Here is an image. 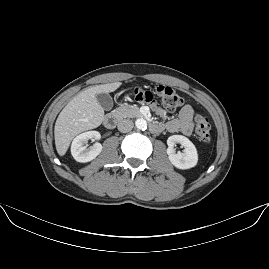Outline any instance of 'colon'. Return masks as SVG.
I'll return each mask as SVG.
<instances>
[{
	"label": "colon",
	"instance_id": "5ec220e1",
	"mask_svg": "<svg viewBox=\"0 0 269 269\" xmlns=\"http://www.w3.org/2000/svg\"><path fill=\"white\" fill-rule=\"evenodd\" d=\"M127 97L132 101H139L144 104H159L165 109L176 110L182 107L183 98L173 88L160 84L154 91L143 89L132 84L126 90ZM194 129L197 138L206 144L212 142V134L208 120L201 114L194 117Z\"/></svg>",
	"mask_w": 269,
	"mask_h": 269
}]
</instances>
